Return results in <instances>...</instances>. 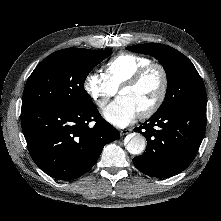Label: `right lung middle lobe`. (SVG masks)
<instances>
[{"label": "right lung middle lobe", "mask_w": 221, "mask_h": 221, "mask_svg": "<svg viewBox=\"0 0 221 221\" xmlns=\"http://www.w3.org/2000/svg\"><path fill=\"white\" fill-rule=\"evenodd\" d=\"M111 51L67 48L52 53L28 78L22 107L81 108L93 104L84 80Z\"/></svg>", "instance_id": "right-lung-middle-lobe-1"}]
</instances>
